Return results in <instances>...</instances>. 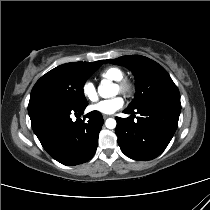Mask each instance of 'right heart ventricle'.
I'll return each mask as SVG.
<instances>
[{"instance_id":"e07e8e85","label":"right heart ventricle","mask_w":210,"mask_h":210,"mask_svg":"<svg viewBox=\"0 0 210 210\" xmlns=\"http://www.w3.org/2000/svg\"><path fill=\"white\" fill-rule=\"evenodd\" d=\"M99 76L104 81L116 82L124 77V72L118 67H107L100 72Z\"/></svg>"}]
</instances>
